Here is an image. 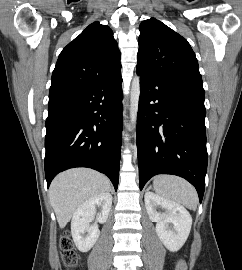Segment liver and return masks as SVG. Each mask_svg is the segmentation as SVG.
<instances>
[{"label": "liver", "instance_id": "liver-1", "mask_svg": "<svg viewBox=\"0 0 242 270\" xmlns=\"http://www.w3.org/2000/svg\"><path fill=\"white\" fill-rule=\"evenodd\" d=\"M109 188V179L91 169L75 168L57 175L51 183L49 199L59 227L67 225L82 203Z\"/></svg>", "mask_w": 242, "mask_h": 270}]
</instances>
